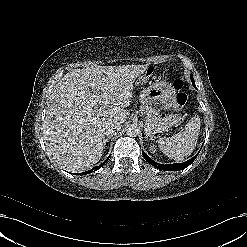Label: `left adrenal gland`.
Wrapping results in <instances>:
<instances>
[{
  "label": "left adrenal gland",
  "mask_w": 247,
  "mask_h": 247,
  "mask_svg": "<svg viewBox=\"0 0 247 247\" xmlns=\"http://www.w3.org/2000/svg\"><path fill=\"white\" fill-rule=\"evenodd\" d=\"M144 131H145L146 138H147V140H148L149 132H148L146 129H145Z\"/></svg>",
  "instance_id": "a2214340"
}]
</instances>
